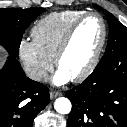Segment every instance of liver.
Listing matches in <instances>:
<instances>
[{
  "instance_id": "6515ba94",
  "label": "liver",
  "mask_w": 127,
  "mask_h": 127,
  "mask_svg": "<svg viewBox=\"0 0 127 127\" xmlns=\"http://www.w3.org/2000/svg\"><path fill=\"white\" fill-rule=\"evenodd\" d=\"M4 59H5V55H4L3 51L0 49V67L3 64Z\"/></svg>"
}]
</instances>
